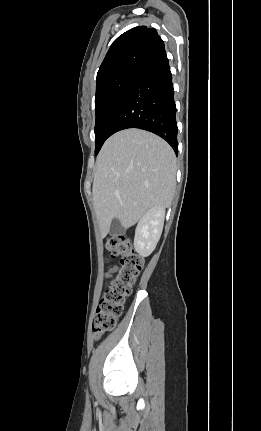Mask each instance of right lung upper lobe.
<instances>
[{"label":"right lung upper lobe","mask_w":261,"mask_h":431,"mask_svg":"<svg viewBox=\"0 0 261 431\" xmlns=\"http://www.w3.org/2000/svg\"><path fill=\"white\" fill-rule=\"evenodd\" d=\"M164 53V42L154 28H132L111 45L98 70L96 87L123 72L140 71Z\"/></svg>","instance_id":"obj_1"}]
</instances>
